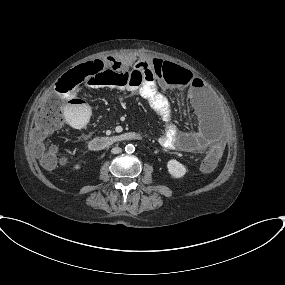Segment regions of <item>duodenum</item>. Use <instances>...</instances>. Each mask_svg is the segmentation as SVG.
<instances>
[{
  "mask_svg": "<svg viewBox=\"0 0 285 285\" xmlns=\"http://www.w3.org/2000/svg\"><path fill=\"white\" fill-rule=\"evenodd\" d=\"M141 139V134L137 132H124L120 134L106 135L94 138L89 143V148L93 151H101L114 145L123 144Z\"/></svg>",
  "mask_w": 285,
  "mask_h": 285,
  "instance_id": "duodenum-1",
  "label": "duodenum"
}]
</instances>
